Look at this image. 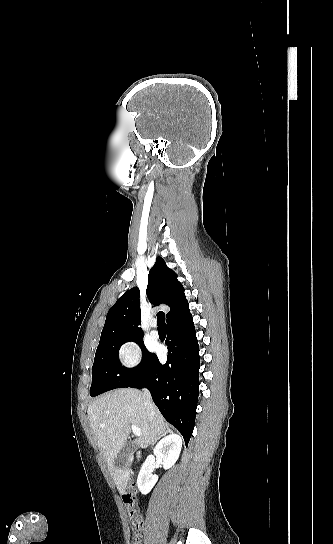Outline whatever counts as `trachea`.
Returning a JSON list of instances; mask_svg holds the SVG:
<instances>
[{
  "label": "trachea",
  "instance_id": "trachea-1",
  "mask_svg": "<svg viewBox=\"0 0 333 544\" xmlns=\"http://www.w3.org/2000/svg\"><path fill=\"white\" fill-rule=\"evenodd\" d=\"M157 321H158V329L165 330L166 324H165V313L160 311L157 313Z\"/></svg>",
  "mask_w": 333,
  "mask_h": 544
}]
</instances>
